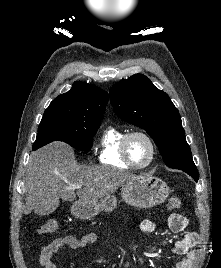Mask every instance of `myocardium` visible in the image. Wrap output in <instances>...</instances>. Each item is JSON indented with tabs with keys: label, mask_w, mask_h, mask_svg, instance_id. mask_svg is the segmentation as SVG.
Wrapping results in <instances>:
<instances>
[{
	"label": "myocardium",
	"mask_w": 221,
	"mask_h": 268,
	"mask_svg": "<svg viewBox=\"0 0 221 268\" xmlns=\"http://www.w3.org/2000/svg\"><path fill=\"white\" fill-rule=\"evenodd\" d=\"M135 136L143 137L148 142V144L150 146V150H151L149 160L145 164H142V165L135 164L131 160L130 155H129V149H128L129 142ZM121 152H122L123 159L131 168L144 169V168L148 167L149 165H151V163L154 161V158L156 156V145H155L153 138L148 133H146L144 131L136 130V131L129 132L124 136V138L122 140V144H121Z\"/></svg>",
	"instance_id": "1"
}]
</instances>
